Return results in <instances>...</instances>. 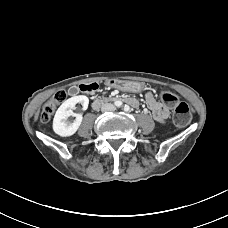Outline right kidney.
Here are the masks:
<instances>
[{"mask_svg":"<svg viewBox=\"0 0 228 228\" xmlns=\"http://www.w3.org/2000/svg\"><path fill=\"white\" fill-rule=\"evenodd\" d=\"M80 103L83 106V110L88 108L89 99L84 95L73 96L67 99L58 108L53 119V131L61 137H69L76 133L82 122V115L74 113L75 105ZM70 116L75 117L73 122H70L68 118Z\"/></svg>","mask_w":228,"mask_h":228,"instance_id":"ca27d5eb","label":"right kidney"}]
</instances>
